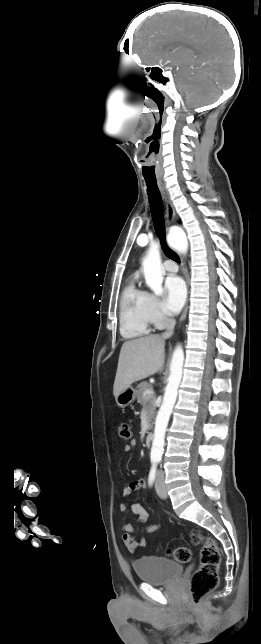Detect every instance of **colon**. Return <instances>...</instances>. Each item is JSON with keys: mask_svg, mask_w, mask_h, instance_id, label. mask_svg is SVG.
Masks as SVG:
<instances>
[{"mask_svg": "<svg viewBox=\"0 0 261 644\" xmlns=\"http://www.w3.org/2000/svg\"><path fill=\"white\" fill-rule=\"evenodd\" d=\"M119 436L124 440L131 438L132 432L128 423L120 424ZM191 540L195 544H202L200 565L191 576L189 591L191 602L198 605L210 591L217 587L221 556L216 541L204 537L199 531H192ZM169 554L180 563H187L191 559L190 549L184 546L169 550Z\"/></svg>", "mask_w": 261, "mask_h": 644, "instance_id": "1", "label": "colon"}]
</instances>
